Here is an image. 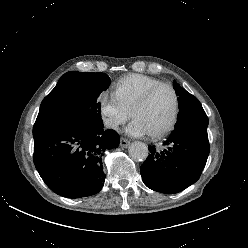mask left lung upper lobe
I'll return each instance as SVG.
<instances>
[{"label":"left lung upper lobe","instance_id":"obj_1","mask_svg":"<svg viewBox=\"0 0 248 248\" xmlns=\"http://www.w3.org/2000/svg\"><path fill=\"white\" fill-rule=\"evenodd\" d=\"M173 88L179 96L178 121L175 125L176 128L185 126H208V117L203 110L200 102L196 97L191 95L188 91L180 87L177 82H173Z\"/></svg>","mask_w":248,"mask_h":248}]
</instances>
